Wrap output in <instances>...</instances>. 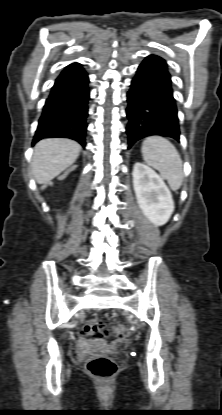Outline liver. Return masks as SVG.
<instances>
[{"mask_svg":"<svg viewBox=\"0 0 222 415\" xmlns=\"http://www.w3.org/2000/svg\"><path fill=\"white\" fill-rule=\"evenodd\" d=\"M81 146L71 139H44L34 147L32 174L39 184H45L70 167L79 156Z\"/></svg>","mask_w":222,"mask_h":415,"instance_id":"6515ba94","label":"liver"}]
</instances>
